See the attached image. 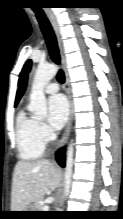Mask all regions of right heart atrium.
I'll list each match as a JSON object with an SVG mask.
<instances>
[{
    "mask_svg": "<svg viewBox=\"0 0 123 219\" xmlns=\"http://www.w3.org/2000/svg\"><path fill=\"white\" fill-rule=\"evenodd\" d=\"M39 132L41 134V137L43 138L44 141H48L51 133L48 129V127L44 123H39Z\"/></svg>",
    "mask_w": 123,
    "mask_h": 219,
    "instance_id": "d8ad5b80",
    "label": "right heart atrium"
}]
</instances>
